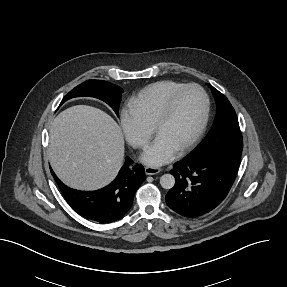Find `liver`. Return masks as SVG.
<instances>
[{"label":"liver","instance_id":"6515ba94","mask_svg":"<svg viewBox=\"0 0 287 287\" xmlns=\"http://www.w3.org/2000/svg\"><path fill=\"white\" fill-rule=\"evenodd\" d=\"M47 153L62 182L78 190H96L109 184L123 164V134L102 110L77 105L54 119Z\"/></svg>","mask_w":287,"mask_h":287}]
</instances>
